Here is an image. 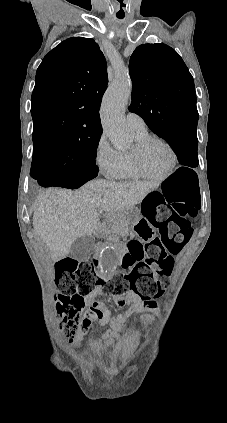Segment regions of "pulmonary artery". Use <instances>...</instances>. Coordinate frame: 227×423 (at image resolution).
<instances>
[{"label": "pulmonary artery", "instance_id": "e3ab8cb5", "mask_svg": "<svg viewBox=\"0 0 227 423\" xmlns=\"http://www.w3.org/2000/svg\"><path fill=\"white\" fill-rule=\"evenodd\" d=\"M126 126L130 132L134 133H143L146 131L144 120L135 113H128L126 115Z\"/></svg>", "mask_w": 227, "mask_h": 423}]
</instances>
